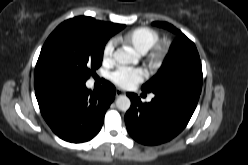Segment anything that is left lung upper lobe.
<instances>
[{"label": "left lung upper lobe", "mask_w": 248, "mask_h": 165, "mask_svg": "<svg viewBox=\"0 0 248 165\" xmlns=\"http://www.w3.org/2000/svg\"><path fill=\"white\" fill-rule=\"evenodd\" d=\"M176 34L169 53L158 73L142 86V91L154 94H196L202 88V66L195 44L180 30L167 22H154Z\"/></svg>", "instance_id": "5c2ea615"}]
</instances>
